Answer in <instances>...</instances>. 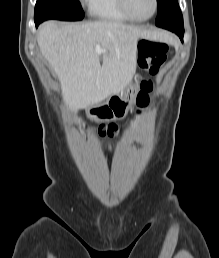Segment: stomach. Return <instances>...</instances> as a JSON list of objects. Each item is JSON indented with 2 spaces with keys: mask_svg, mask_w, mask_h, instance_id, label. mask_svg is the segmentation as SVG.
<instances>
[{
  "mask_svg": "<svg viewBox=\"0 0 219 258\" xmlns=\"http://www.w3.org/2000/svg\"><path fill=\"white\" fill-rule=\"evenodd\" d=\"M137 92L138 81L135 79V84H129V86L119 94L110 95L107 100L101 104L88 107L86 113L88 117L97 121L123 119L134 103Z\"/></svg>",
  "mask_w": 219,
  "mask_h": 258,
  "instance_id": "stomach-1",
  "label": "stomach"
}]
</instances>
